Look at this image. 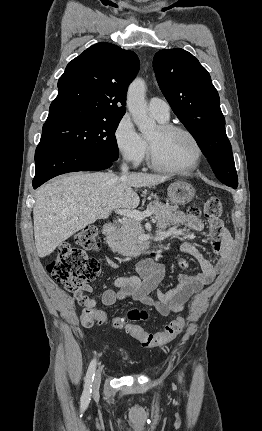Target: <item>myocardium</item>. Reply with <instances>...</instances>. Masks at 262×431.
Here are the masks:
<instances>
[{"mask_svg": "<svg viewBox=\"0 0 262 431\" xmlns=\"http://www.w3.org/2000/svg\"><path fill=\"white\" fill-rule=\"evenodd\" d=\"M158 129L161 133L180 132L187 135L194 145L195 157L192 165L188 168H172V167L162 165L156 158L153 146L147 140L148 162L150 167L163 173L177 174V175H189L192 172H194L196 169H198L203 158V150L196 135L188 128L181 125L172 124V123H162L158 126Z\"/></svg>", "mask_w": 262, "mask_h": 431, "instance_id": "myocardium-1", "label": "myocardium"}]
</instances>
